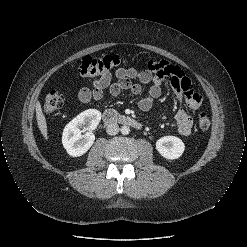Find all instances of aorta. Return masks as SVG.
I'll return each instance as SVG.
<instances>
[{
  "mask_svg": "<svg viewBox=\"0 0 247 247\" xmlns=\"http://www.w3.org/2000/svg\"><path fill=\"white\" fill-rule=\"evenodd\" d=\"M121 133L123 134V135H128L129 133H130V128L128 127V126H122L121 127Z\"/></svg>",
  "mask_w": 247,
  "mask_h": 247,
  "instance_id": "762f6f07",
  "label": "aorta"
}]
</instances>
